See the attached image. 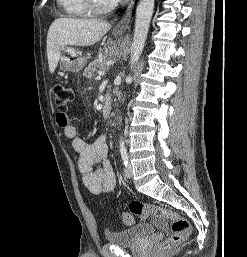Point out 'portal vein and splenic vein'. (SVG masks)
<instances>
[{
	"mask_svg": "<svg viewBox=\"0 0 247 257\" xmlns=\"http://www.w3.org/2000/svg\"><path fill=\"white\" fill-rule=\"evenodd\" d=\"M98 77L100 78L101 76H103L104 75V72H102V71H98Z\"/></svg>",
	"mask_w": 247,
	"mask_h": 257,
	"instance_id": "portal-vein-and-splenic-vein-1",
	"label": "portal vein and splenic vein"
}]
</instances>
